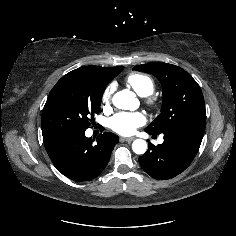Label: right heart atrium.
<instances>
[{
  "label": "right heart atrium",
  "mask_w": 236,
  "mask_h": 236,
  "mask_svg": "<svg viewBox=\"0 0 236 236\" xmlns=\"http://www.w3.org/2000/svg\"><path fill=\"white\" fill-rule=\"evenodd\" d=\"M113 92H114L113 84L107 86L106 89L104 90L101 96V103L104 109L110 108Z\"/></svg>",
  "instance_id": "right-heart-atrium-1"
}]
</instances>
